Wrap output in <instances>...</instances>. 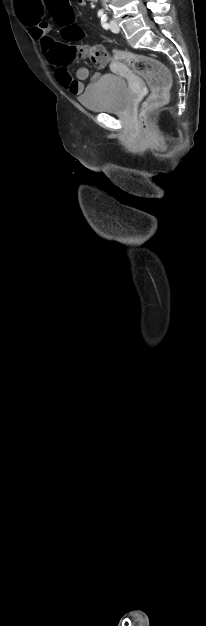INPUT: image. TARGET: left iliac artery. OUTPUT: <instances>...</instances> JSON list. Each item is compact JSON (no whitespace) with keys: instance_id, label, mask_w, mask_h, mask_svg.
<instances>
[{"instance_id":"obj_1","label":"left iliac artery","mask_w":206,"mask_h":626,"mask_svg":"<svg viewBox=\"0 0 206 626\" xmlns=\"http://www.w3.org/2000/svg\"><path fill=\"white\" fill-rule=\"evenodd\" d=\"M101 24H102V27H103L104 29H108V28L110 27V26H109V24L107 23V16H106V15H104V16L101 18Z\"/></svg>"}]
</instances>
